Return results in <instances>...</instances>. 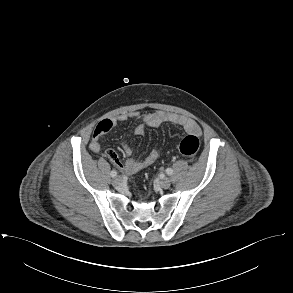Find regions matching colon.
<instances>
[{"mask_svg":"<svg viewBox=\"0 0 293 293\" xmlns=\"http://www.w3.org/2000/svg\"><path fill=\"white\" fill-rule=\"evenodd\" d=\"M200 148V140L195 135H188L184 137L178 144V151L188 157H192L197 154Z\"/></svg>","mask_w":293,"mask_h":293,"instance_id":"1","label":"colon"}]
</instances>
